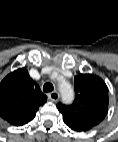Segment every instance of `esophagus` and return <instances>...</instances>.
Wrapping results in <instances>:
<instances>
[{
	"instance_id": "1",
	"label": "esophagus",
	"mask_w": 118,
	"mask_h": 142,
	"mask_svg": "<svg viewBox=\"0 0 118 142\" xmlns=\"http://www.w3.org/2000/svg\"><path fill=\"white\" fill-rule=\"evenodd\" d=\"M48 98L51 100V101H58L59 100V93L57 91H53V92H50L48 94Z\"/></svg>"
}]
</instances>
